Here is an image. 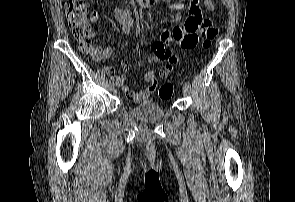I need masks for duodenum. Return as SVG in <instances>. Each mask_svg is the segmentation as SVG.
I'll return each instance as SVG.
<instances>
[{
  "mask_svg": "<svg viewBox=\"0 0 295 202\" xmlns=\"http://www.w3.org/2000/svg\"><path fill=\"white\" fill-rule=\"evenodd\" d=\"M131 4L135 5V6H142L145 3L150 2V0H129Z\"/></svg>",
  "mask_w": 295,
  "mask_h": 202,
  "instance_id": "duodenum-1",
  "label": "duodenum"
}]
</instances>
